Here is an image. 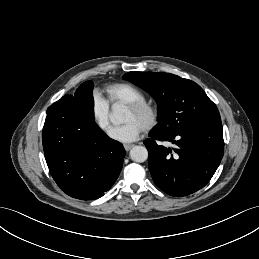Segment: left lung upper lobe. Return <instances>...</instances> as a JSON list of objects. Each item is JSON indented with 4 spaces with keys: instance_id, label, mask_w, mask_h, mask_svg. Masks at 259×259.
Returning <instances> with one entry per match:
<instances>
[{
    "instance_id": "1",
    "label": "left lung upper lobe",
    "mask_w": 259,
    "mask_h": 259,
    "mask_svg": "<svg viewBox=\"0 0 259 259\" xmlns=\"http://www.w3.org/2000/svg\"><path fill=\"white\" fill-rule=\"evenodd\" d=\"M123 79L149 92L158 105V124L151 133L172 136L221 124L216 105L195 82L162 72H128Z\"/></svg>"
}]
</instances>
